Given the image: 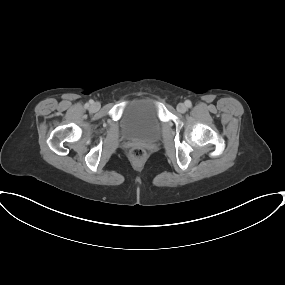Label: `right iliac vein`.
Segmentation results:
<instances>
[{
  "mask_svg": "<svg viewBox=\"0 0 285 285\" xmlns=\"http://www.w3.org/2000/svg\"><path fill=\"white\" fill-rule=\"evenodd\" d=\"M98 107H99L98 103H94V104H92V106H91L92 110H97Z\"/></svg>",
  "mask_w": 285,
  "mask_h": 285,
  "instance_id": "1",
  "label": "right iliac vein"
}]
</instances>
